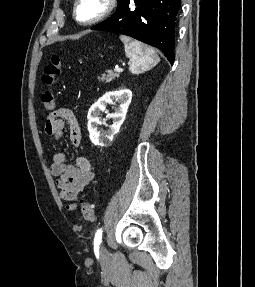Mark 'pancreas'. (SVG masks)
Here are the masks:
<instances>
[{"mask_svg":"<svg viewBox=\"0 0 255 287\" xmlns=\"http://www.w3.org/2000/svg\"><path fill=\"white\" fill-rule=\"evenodd\" d=\"M119 74H114L112 70H108L107 74H102L101 78H98L100 82H111V80H115V78H118Z\"/></svg>","mask_w":255,"mask_h":287,"instance_id":"obj_1","label":"pancreas"}]
</instances>
